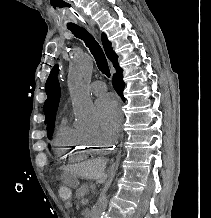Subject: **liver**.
Listing matches in <instances>:
<instances>
[{
  "label": "liver",
  "instance_id": "1",
  "mask_svg": "<svg viewBox=\"0 0 211 218\" xmlns=\"http://www.w3.org/2000/svg\"><path fill=\"white\" fill-rule=\"evenodd\" d=\"M105 168L106 162L104 160H88L84 166H81L79 174L89 178V180H96L97 184H104L107 178Z\"/></svg>",
  "mask_w": 211,
  "mask_h": 218
}]
</instances>
